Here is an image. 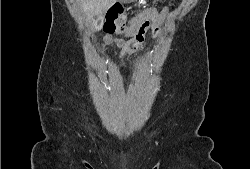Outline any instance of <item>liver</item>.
I'll list each match as a JSON object with an SVG mask.
<instances>
[{"label":"liver","mask_w":250,"mask_h":169,"mask_svg":"<svg viewBox=\"0 0 250 169\" xmlns=\"http://www.w3.org/2000/svg\"><path fill=\"white\" fill-rule=\"evenodd\" d=\"M78 2L86 20H91L93 14L101 16L116 0H78Z\"/></svg>","instance_id":"obj_1"}]
</instances>
